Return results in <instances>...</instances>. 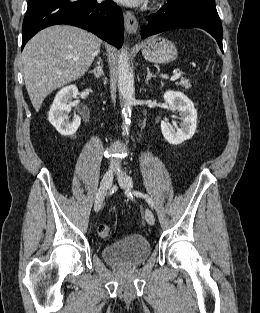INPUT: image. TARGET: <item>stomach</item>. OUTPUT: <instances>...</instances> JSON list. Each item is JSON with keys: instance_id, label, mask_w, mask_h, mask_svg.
I'll list each match as a JSON object with an SVG mask.
<instances>
[{"instance_id": "stomach-1", "label": "stomach", "mask_w": 260, "mask_h": 313, "mask_svg": "<svg viewBox=\"0 0 260 313\" xmlns=\"http://www.w3.org/2000/svg\"><path fill=\"white\" fill-rule=\"evenodd\" d=\"M141 47L144 58L153 63L166 64L177 58L176 46L163 37H151Z\"/></svg>"}]
</instances>
